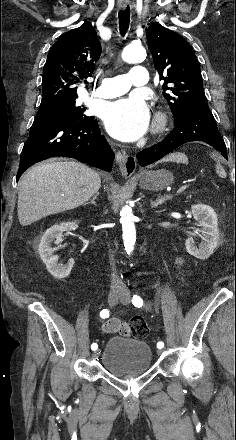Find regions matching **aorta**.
<instances>
[{"label":"aorta","instance_id":"762f6f07","mask_svg":"<svg viewBox=\"0 0 236 440\" xmlns=\"http://www.w3.org/2000/svg\"><path fill=\"white\" fill-rule=\"evenodd\" d=\"M146 58V50L141 45L131 44L122 51V59L127 63H141ZM120 221L123 230L124 248L127 254L134 250L136 241L135 216L132 209L128 206L122 208Z\"/></svg>","mask_w":236,"mask_h":440}]
</instances>
